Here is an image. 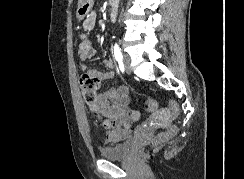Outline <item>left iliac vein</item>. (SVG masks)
Returning a JSON list of instances; mask_svg holds the SVG:
<instances>
[{"label": "left iliac vein", "instance_id": "4c4485c4", "mask_svg": "<svg viewBox=\"0 0 244 179\" xmlns=\"http://www.w3.org/2000/svg\"><path fill=\"white\" fill-rule=\"evenodd\" d=\"M123 63H124L125 70L127 72H131V66H130L131 59H130V57L128 55H124Z\"/></svg>", "mask_w": 244, "mask_h": 179}]
</instances>
